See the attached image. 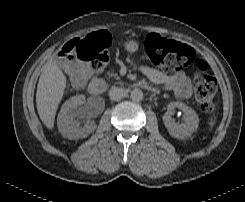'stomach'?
I'll return each mask as SVG.
<instances>
[{
	"label": "stomach",
	"instance_id": "1",
	"mask_svg": "<svg viewBox=\"0 0 245 202\" xmlns=\"http://www.w3.org/2000/svg\"><path fill=\"white\" fill-rule=\"evenodd\" d=\"M124 48L129 53H135L139 48V44L134 40H129L124 44Z\"/></svg>",
	"mask_w": 245,
	"mask_h": 202
}]
</instances>
